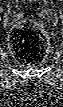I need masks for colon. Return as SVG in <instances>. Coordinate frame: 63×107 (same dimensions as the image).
Wrapping results in <instances>:
<instances>
[{"label": "colon", "instance_id": "1", "mask_svg": "<svg viewBox=\"0 0 63 107\" xmlns=\"http://www.w3.org/2000/svg\"><path fill=\"white\" fill-rule=\"evenodd\" d=\"M48 46L47 31L39 21L21 24L11 32V50L22 64L34 65L42 62L47 54Z\"/></svg>", "mask_w": 63, "mask_h": 107}]
</instances>
